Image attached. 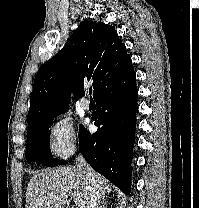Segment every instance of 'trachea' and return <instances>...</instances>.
<instances>
[{"instance_id":"obj_1","label":"trachea","mask_w":199,"mask_h":208,"mask_svg":"<svg viewBox=\"0 0 199 208\" xmlns=\"http://www.w3.org/2000/svg\"><path fill=\"white\" fill-rule=\"evenodd\" d=\"M92 94V89H89V95H91Z\"/></svg>"}]
</instances>
